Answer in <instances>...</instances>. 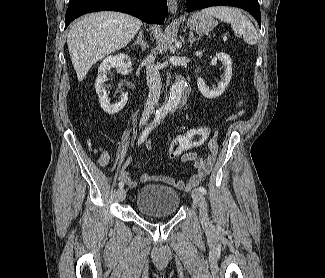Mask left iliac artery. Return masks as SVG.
<instances>
[{
	"label": "left iliac artery",
	"mask_w": 325,
	"mask_h": 278,
	"mask_svg": "<svg viewBox=\"0 0 325 278\" xmlns=\"http://www.w3.org/2000/svg\"><path fill=\"white\" fill-rule=\"evenodd\" d=\"M197 190L199 192H201L202 194H206L207 193L206 189L204 187H202V186L198 187Z\"/></svg>",
	"instance_id": "obj_1"
}]
</instances>
